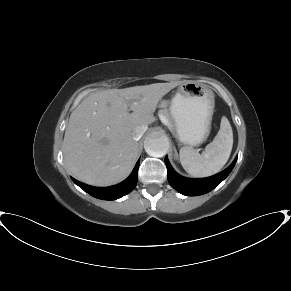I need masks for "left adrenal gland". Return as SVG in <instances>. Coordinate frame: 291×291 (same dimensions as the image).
Instances as JSON below:
<instances>
[{
    "instance_id": "a2214340",
    "label": "left adrenal gland",
    "mask_w": 291,
    "mask_h": 291,
    "mask_svg": "<svg viewBox=\"0 0 291 291\" xmlns=\"http://www.w3.org/2000/svg\"><path fill=\"white\" fill-rule=\"evenodd\" d=\"M175 157H176V159L178 158V153H177L176 149H175Z\"/></svg>"
}]
</instances>
